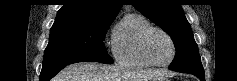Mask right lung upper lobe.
Returning a JSON list of instances; mask_svg holds the SVG:
<instances>
[{"label":"right lung upper lobe","mask_w":237,"mask_h":81,"mask_svg":"<svg viewBox=\"0 0 237 81\" xmlns=\"http://www.w3.org/2000/svg\"><path fill=\"white\" fill-rule=\"evenodd\" d=\"M122 6V0H65L56 19L85 18L114 20Z\"/></svg>","instance_id":"right-lung-upper-lobe-1"}]
</instances>
